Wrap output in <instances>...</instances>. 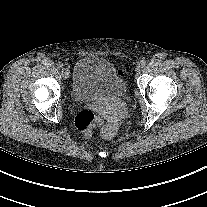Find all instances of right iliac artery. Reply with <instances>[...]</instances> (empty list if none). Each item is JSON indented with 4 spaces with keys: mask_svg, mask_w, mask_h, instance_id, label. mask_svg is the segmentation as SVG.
Here are the masks:
<instances>
[{
    "mask_svg": "<svg viewBox=\"0 0 207 207\" xmlns=\"http://www.w3.org/2000/svg\"><path fill=\"white\" fill-rule=\"evenodd\" d=\"M57 68H58V69H62V68H63V64H62V63H58V64H57Z\"/></svg>",
    "mask_w": 207,
    "mask_h": 207,
    "instance_id": "obj_1",
    "label": "right iliac artery"
}]
</instances>
